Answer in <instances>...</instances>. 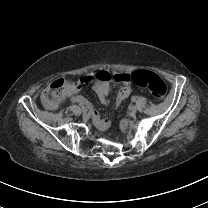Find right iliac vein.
<instances>
[{"mask_svg": "<svg viewBox=\"0 0 208 208\" xmlns=\"http://www.w3.org/2000/svg\"><path fill=\"white\" fill-rule=\"evenodd\" d=\"M82 113H83V114H86V113H87V109H86V108H83V109H82Z\"/></svg>", "mask_w": 208, "mask_h": 208, "instance_id": "obj_1", "label": "right iliac vein"}]
</instances>
